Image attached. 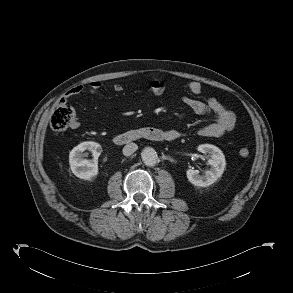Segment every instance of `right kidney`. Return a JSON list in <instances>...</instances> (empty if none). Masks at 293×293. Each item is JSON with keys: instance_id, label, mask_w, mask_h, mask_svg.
Here are the masks:
<instances>
[{"instance_id": "1", "label": "right kidney", "mask_w": 293, "mask_h": 293, "mask_svg": "<svg viewBox=\"0 0 293 293\" xmlns=\"http://www.w3.org/2000/svg\"><path fill=\"white\" fill-rule=\"evenodd\" d=\"M89 150L92 152L93 160L84 159L83 152ZM102 152V147L94 141H85L74 147L69 154V164L72 173L84 180H93L98 175L97 159Z\"/></svg>"}]
</instances>
